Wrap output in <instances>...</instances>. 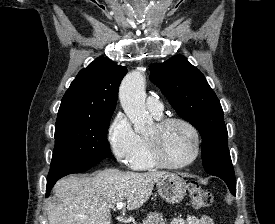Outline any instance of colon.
Wrapping results in <instances>:
<instances>
[{
	"mask_svg": "<svg viewBox=\"0 0 275 224\" xmlns=\"http://www.w3.org/2000/svg\"><path fill=\"white\" fill-rule=\"evenodd\" d=\"M189 195L191 204L196 209L208 207L213 202L212 194L197 182H191L189 184Z\"/></svg>",
	"mask_w": 275,
	"mask_h": 224,
	"instance_id": "5ec220e1",
	"label": "colon"
}]
</instances>
